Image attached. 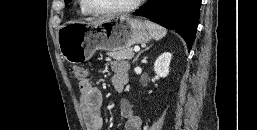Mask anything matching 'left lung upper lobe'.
<instances>
[{"mask_svg": "<svg viewBox=\"0 0 257 130\" xmlns=\"http://www.w3.org/2000/svg\"><path fill=\"white\" fill-rule=\"evenodd\" d=\"M70 2V0H65V4L67 5Z\"/></svg>", "mask_w": 257, "mask_h": 130, "instance_id": "obj_1", "label": "left lung upper lobe"}]
</instances>
